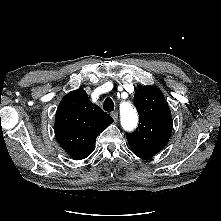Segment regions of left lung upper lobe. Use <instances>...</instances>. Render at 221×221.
<instances>
[{
    "mask_svg": "<svg viewBox=\"0 0 221 221\" xmlns=\"http://www.w3.org/2000/svg\"><path fill=\"white\" fill-rule=\"evenodd\" d=\"M134 104L140 124L135 132L126 133V138L136 156L148 159L169 141L173 124L171 112L163 94L155 86L137 89Z\"/></svg>",
    "mask_w": 221,
    "mask_h": 221,
    "instance_id": "1",
    "label": "left lung upper lobe"
}]
</instances>
